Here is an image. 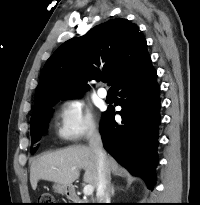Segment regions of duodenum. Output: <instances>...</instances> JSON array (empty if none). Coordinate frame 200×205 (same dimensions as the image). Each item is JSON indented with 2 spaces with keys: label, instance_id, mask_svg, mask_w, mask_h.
I'll return each mask as SVG.
<instances>
[{
  "label": "duodenum",
  "instance_id": "410a0bca",
  "mask_svg": "<svg viewBox=\"0 0 200 205\" xmlns=\"http://www.w3.org/2000/svg\"><path fill=\"white\" fill-rule=\"evenodd\" d=\"M68 196L70 198H76L77 197L76 191L73 188H69L68 189Z\"/></svg>",
  "mask_w": 200,
  "mask_h": 205
}]
</instances>
